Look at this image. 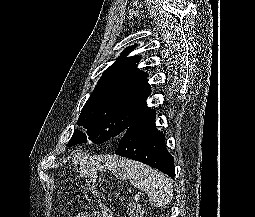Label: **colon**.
<instances>
[{
    "label": "colon",
    "instance_id": "obj_1",
    "mask_svg": "<svg viewBox=\"0 0 255 217\" xmlns=\"http://www.w3.org/2000/svg\"><path fill=\"white\" fill-rule=\"evenodd\" d=\"M92 193L96 198H98V194L94 188V186H91ZM127 215L128 217H143V208L140 204L138 203H132L129 205L128 210H127Z\"/></svg>",
    "mask_w": 255,
    "mask_h": 217
}]
</instances>
